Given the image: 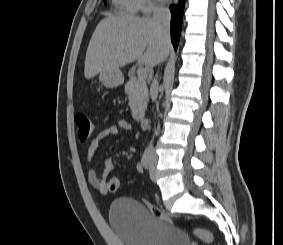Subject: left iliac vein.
Returning <instances> with one entry per match:
<instances>
[{
  "label": "left iliac vein",
  "instance_id": "obj_1",
  "mask_svg": "<svg viewBox=\"0 0 283 245\" xmlns=\"http://www.w3.org/2000/svg\"><path fill=\"white\" fill-rule=\"evenodd\" d=\"M155 166H156V159H155V156L152 155L150 157V169H149V174H150V178L152 181L156 180Z\"/></svg>",
  "mask_w": 283,
  "mask_h": 245
}]
</instances>
